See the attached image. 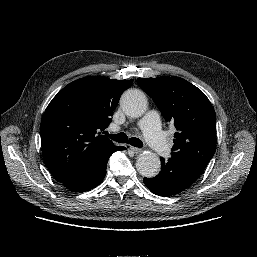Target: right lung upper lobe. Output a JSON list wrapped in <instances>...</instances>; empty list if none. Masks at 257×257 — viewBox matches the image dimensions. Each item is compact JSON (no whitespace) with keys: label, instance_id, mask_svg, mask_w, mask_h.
Returning <instances> with one entry per match:
<instances>
[{"label":"right lung upper lobe","instance_id":"cb5924a9","mask_svg":"<svg viewBox=\"0 0 257 257\" xmlns=\"http://www.w3.org/2000/svg\"><path fill=\"white\" fill-rule=\"evenodd\" d=\"M132 82L81 78L52 99L42 117L40 135L43 159L57 181L70 178L116 147L101 131L108 127L120 96Z\"/></svg>","mask_w":257,"mask_h":257}]
</instances>
